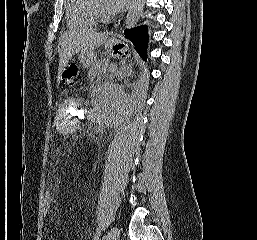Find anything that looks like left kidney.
I'll return each instance as SVG.
<instances>
[{
    "label": "left kidney",
    "mask_w": 257,
    "mask_h": 240,
    "mask_svg": "<svg viewBox=\"0 0 257 240\" xmlns=\"http://www.w3.org/2000/svg\"><path fill=\"white\" fill-rule=\"evenodd\" d=\"M103 118L114 122L129 107L130 98L124 91V86L111 84L104 88L100 96Z\"/></svg>",
    "instance_id": "1"
}]
</instances>
